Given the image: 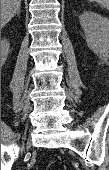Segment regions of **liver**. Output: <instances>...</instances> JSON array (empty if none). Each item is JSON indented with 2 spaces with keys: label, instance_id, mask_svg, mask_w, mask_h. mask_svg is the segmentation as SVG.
<instances>
[{
  "label": "liver",
  "instance_id": "obj_1",
  "mask_svg": "<svg viewBox=\"0 0 109 170\" xmlns=\"http://www.w3.org/2000/svg\"><path fill=\"white\" fill-rule=\"evenodd\" d=\"M21 0H1V26H5L18 12Z\"/></svg>",
  "mask_w": 109,
  "mask_h": 170
}]
</instances>
